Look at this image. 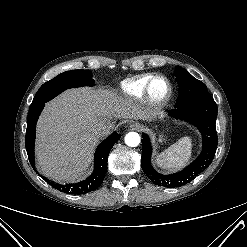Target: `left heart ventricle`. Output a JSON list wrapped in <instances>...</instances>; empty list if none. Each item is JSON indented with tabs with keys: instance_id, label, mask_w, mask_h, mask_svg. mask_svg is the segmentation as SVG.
<instances>
[{
	"instance_id": "obj_1",
	"label": "left heart ventricle",
	"mask_w": 247,
	"mask_h": 247,
	"mask_svg": "<svg viewBox=\"0 0 247 247\" xmlns=\"http://www.w3.org/2000/svg\"><path fill=\"white\" fill-rule=\"evenodd\" d=\"M153 93L157 96H162L167 91V85L164 81L158 80L153 85Z\"/></svg>"
}]
</instances>
